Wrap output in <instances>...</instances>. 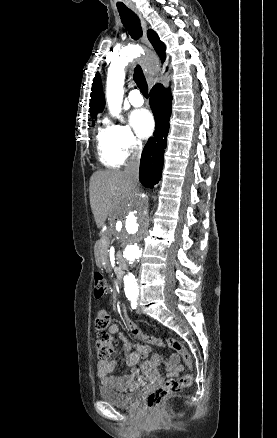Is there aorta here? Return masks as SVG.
<instances>
[{"label": "aorta", "mask_w": 277, "mask_h": 438, "mask_svg": "<svg viewBox=\"0 0 277 438\" xmlns=\"http://www.w3.org/2000/svg\"><path fill=\"white\" fill-rule=\"evenodd\" d=\"M142 51L138 45H128L112 59L107 75L106 99L113 116L119 117L121 111L125 66L134 58L139 57ZM150 226L148 200L144 194L132 193L115 208L112 217L114 238L124 260L130 265L140 259L142 245ZM124 290L127 295L138 293L137 280L132 273L124 276Z\"/></svg>", "instance_id": "obj_1"}]
</instances>
